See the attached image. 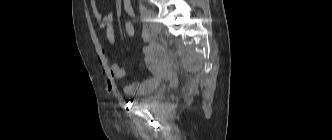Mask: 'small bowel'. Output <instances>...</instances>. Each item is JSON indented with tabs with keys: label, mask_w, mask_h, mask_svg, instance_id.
Returning a JSON list of instances; mask_svg holds the SVG:
<instances>
[{
	"label": "small bowel",
	"mask_w": 332,
	"mask_h": 140,
	"mask_svg": "<svg viewBox=\"0 0 332 140\" xmlns=\"http://www.w3.org/2000/svg\"><path fill=\"white\" fill-rule=\"evenodd\" d=\"M123 6L126 14L130 17H134L135 12L131 5V0H123ZM90 8L92 14L97 23V30L100 33H103L108 41V43L114 47L116 45V35L114 32V16L113 13L110 12L108 14H102L98 7L96 0H90ZM141 39L144 42L149 41V35L146 32H143L141 35ZM152 51V46L148 45L144 47L143 53L148 55ZM125 70L120 67L118 64L114 63L110 66V76L112 80H122L125 77ZM147 81L135 82L125 86L124 92L128 96H134L143 93L146 89Z\"/></svg>",
	"instance_id": "1"
}]
</instances>
